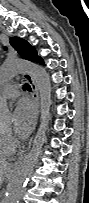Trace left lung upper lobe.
I'll return each instance as SVG.
<instances>
[{
  "label": "left lung upper lobe",
  "instance_id": "left-lung-upper-lobe-1",
  "mask_svg": "<svg viewBox=\"0 0 89 203\" xmlns=\"http://www.w3.org/2000/svg\"><path fill=\"white\" fill-rule=\"evenodd\" d=\"M10 44L18 51L21 56L33 62L38 61L39 56L37 55L36 49L24 39L19 37H11Z\"/></svg>",
  "mask_w": 89,
  "mask_h": 203
}]
</instances>
